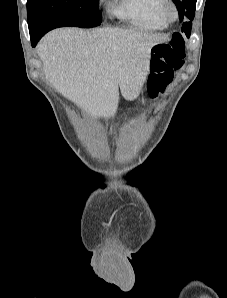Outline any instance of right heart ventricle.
Returning <instances> with one entry per match:
<instances>
[{
	"label": "right heart ventricle",
	"mask_w": 227,
	"mask_h": 298,
	"mask_svg": "<svg viewBox=\"0 0 227 298\" xmlns=\"http://www.w3.org/2000/svg\"><path fill=\"white\" fill-rule=\"evenodd\" d=\"M161 0H114L110 12L141 30H163L168 22L159 14Z\"/></svg>",
	"instance_id": "obj_1"
}]
</instances>
